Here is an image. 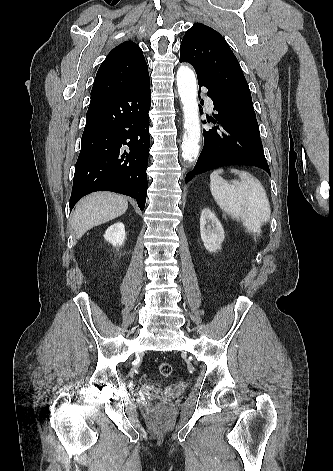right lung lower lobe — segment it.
I'll use <instances>...</instances> for the list:
<instances>
[{"instance_id":"right-lung-lower-lobe-1","label":"right lung lower lobe","mask_w":333,"mask_h":471,"mask_svg":"<svg viewBox=\"0 0 333 471\" xmlns=\"http://www.w3.org/2000/svg\"><path fill=\"white\" fill-rule=\"evenodd\" d=\"M149 75L123 93L90 103L75 165L70 211L85 195L113 191L144 209L150 146Z\"/></svg>"}]
</instances>
